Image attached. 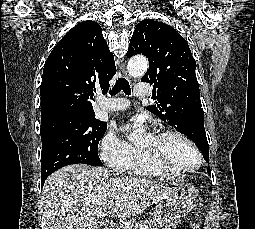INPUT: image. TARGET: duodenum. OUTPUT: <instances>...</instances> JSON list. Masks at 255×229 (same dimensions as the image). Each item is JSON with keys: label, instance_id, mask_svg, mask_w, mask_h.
Instances as JSON below:
<instances>
[{"label": "duodenum", "instance_id": "duodenum-1", "mask_svg": "<svg viewBox=\"0 0 255 229\" xmlns=\"http://www.w3.org/2000/svg\"><path fill=\"white\" fill-rule=\"evenodd\" d=\"M108 229H121V227L118 224H112L108 227Z\"/></svg>", "mask_w": 255, "mask_h": 229}]
</instances>
